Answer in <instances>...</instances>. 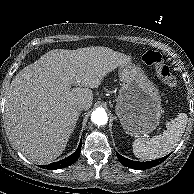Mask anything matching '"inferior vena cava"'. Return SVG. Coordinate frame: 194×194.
I'll use <instances>...</instances> for the list:
<instances>
[{
    "label": "inferior vena cava",
    "mask_w": 194,
    "mask_h": 194,
    "mask_svg": "<svg viewBox=\"0 0 194 194\" xmlns=\"http://www.w3.org/2000/svg\"><path fill=\"white\" fill-rule=\"evenodd\" d=\"M85 109V106L84 104H77L74 106V110L77 111V112H81Z\"/></svg>",
    "instance_id": "obj_1"
}]
</instances>
